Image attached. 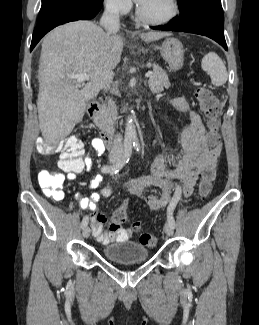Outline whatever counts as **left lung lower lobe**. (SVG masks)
Wrapping results in <instances>:
<instances>
[{
  "instance_id": "left-lung-lower-lobe-1",
  "label": "left lung lower lobe",
  "mask_w": 259,
  "mask_h": 325,
  "mask_svg": "<svg viewBox=\"0 0 259 325\" xmlns=\"http://www.w3.org/2000/svg\"><path fill=\"white\" fill-rule=\"evenodd\" d=\"M224 15L221 0H190L180 16L175 17L163 26L152 29L180 31L207 36L227 50L224 37Z\"/></svg>"
}]
</instances>
